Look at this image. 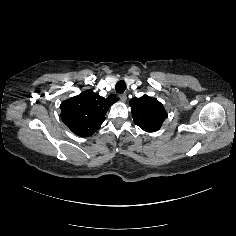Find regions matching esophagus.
I'll list each match as a JSON object with an SVG mask.
<instances>
[{
    "mask_svg": "<svg viewBox=\"0 0 236 236\" xmlns=\"http://www.w3.org/2000/svg\"><path fill=\"white\" fill-rule=\"evenodd\" d=\"M119 98L122 102H125L127 100V94L126 93H122L119 95Z\"/></svg>",
    "mask_w": 236,
    "mask_h": 236,
    "instance_id": "esophagus-1",
    "label": "esophagus"
}]
</instances>
